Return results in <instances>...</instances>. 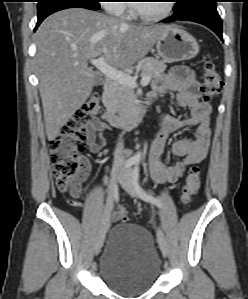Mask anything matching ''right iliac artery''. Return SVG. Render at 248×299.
<instances>
[{
	"mask_svg": "<svg viewBox=\"0 0 248 299\" xmlns=\"http://www.w3.org/2000/svg\"><path fill=\"white\" fill-rule=\"evenodd\" d=\"M136 163V161L134 159H128L126 160L125 164H124V168L125 169H129L131 168L134 164Z\"/></svg>",
	"mask_w": 248,
	"mask_h": 299,
	"instance_id": "right-iliac-artery-1",
	"label": "right iliac artery"
}]
</instances>
